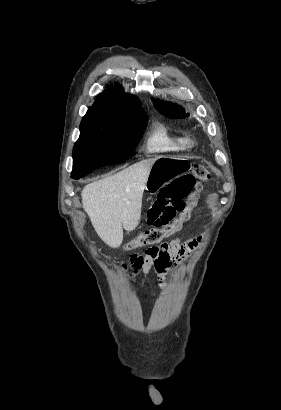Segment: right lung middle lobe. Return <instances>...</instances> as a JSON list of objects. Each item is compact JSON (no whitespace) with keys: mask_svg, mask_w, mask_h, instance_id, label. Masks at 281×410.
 <instances>
[{"mask_svg":"<svg viewBox=\"0 0 281 410\" xmlns=\"http://www.w3.org/2000/svg\"><path fill=\"white\" fill-rule=\"evenodd\" d=\"M147 125V116L133 120H106L85 115L80 137L73 148L72 178L78 179L96 168L126 160Z\"/></svg>","mask_w":281,"mask_h":410,"instance_id":"dd1d6c3e","label":"right lung middle lobe"}]
</instances>
